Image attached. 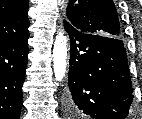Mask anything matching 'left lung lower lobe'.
<instances>
[{
	"label": "left lung lower lobe",
	"mask_w": 142,
	"mask_h": 119,
	"mask_svg": "<svg viewBox=\"0 0 142 119\" xmlns=\"http://www.w3.org/2000/svg\"><path fill=\"white\" fill-rule=\"evenodd\" d=\"M64 27L70 37V110L93 119H126L133 90L122 40L81 32L66 21Z\"/></svg>",
	"instance_id": "1"
}]
</instances>
